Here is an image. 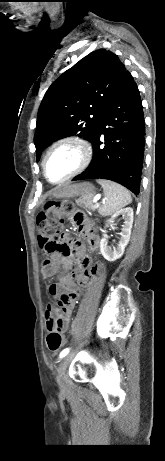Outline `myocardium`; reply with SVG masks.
Instances as JSON below:
<instances>
[{
  "label": "myocardium",
  "instance_id": "1",
  "mask_svg": "<svg viewBox=\"0 0 165 461\" xmlns=\"http://www.w3.org/2000/svg\"><path fill=\"white\" fill-rule=\"evenodd\" d=\"M61 146L73 147L79 154V161L77 165L66 176H64L63 178L57 181H52L47 175L46 162H47L49 155L56 148L61 147ZM91 160H92V149L86 140H84L82 137L74 136V135L65 136V137L57 139L47 148L43 156V159H42L43 175L48 182L52 184H60V183L70 180L71 178L83 172L89 166Z\"/></svg>",
  "mask_w": 165,
  "mask_h": 461
}]
</instances>
